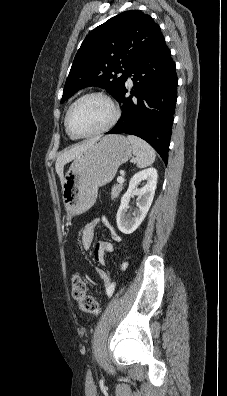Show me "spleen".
I'll list each match as a JSON object with an SVG mask.
<instances>
[{
  "instance_id": "obj_1",
  "label": "spleen",
  "mask_w": 227,
  "mask_h": 396,
  "mask_svg": "<svg viewBox=\"0 0 227 396\" xmlns=\"http://www.w3.org/2000/svg\"><path fill=\"white\" fill-rule=\"evenodd\" d=\"M127 139L132 146L138 168L150 166L155 161V151L147 142L132 135H128Z\"/></svg>"
}]
</instances>
